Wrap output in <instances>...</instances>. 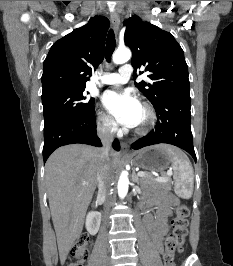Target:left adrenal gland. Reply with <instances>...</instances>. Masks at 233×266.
<instances>
[{
    "label": "left adrenal gland",
    "instance_id": "a2214340",
    "mask_svg": "<svg viewBox=\"0 0 233 266\" xmlns=\"http://www.w3.org/2000/svg\"><path fill=\"white\" fill-rule=\"evenodd\" d=\"M132 181H133L134 183H137V184L140 183V182H139V178H138V176L136 175V172H135V171H133V174H132Z\"/></svg>",
    "mask_w": 233,
    "mask_h": 266
}]
</instances>
